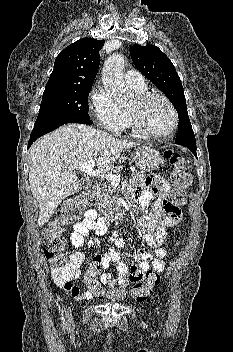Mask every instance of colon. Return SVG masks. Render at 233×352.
Returning a JSON list of instances; mask_svg holds the SVG:
<instances>
[{
    "mask_svg": "<svg viewBox=\"0 0 233 352\" xmlns=\"http://www.w3.org/2000/svg\"><path fill=\"white\" fill-rule=\"evenodd\" d=\"M165 157L172 166L171 182L173 185L167 201L172 207H180L186 203V191L191 183V177L186 171L187 162L183 155L171 150L165 152ZM86 205L87 198L85 196L71 200L58 215L56 222L43 231L48 243L44 249V255L51 263V272L55 280L66 281L73 274V268L63 256L67 243L62 234V227L79 220ZM102 259L103 255H96L85 273V283L93 297L123 300L131 296L137 301H144L150 296L153 286L160 281V270L153 268L146 273L144 281L137 283L129 293L124 289L107 290L99 278Z\"/></svg>",
    "mask_w": 233,
    "mask_h": 352,
    "instance_id": "obj_1",
    "label": "colon"
}]
</instances>
